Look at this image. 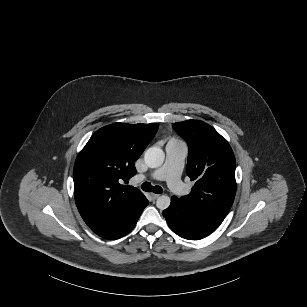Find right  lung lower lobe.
<instances>
[{
  "label": "right lung lower lobe",
  "instance_id": "98d812e1",
  "mask_svg": "<svg viewBox=\"0 0 307 307\" xmlns=\"http://www.w3.org/2000/svg\"><path fill=\"white\" fill-rule=\"evenodd\" d=\"M148 203V200L143 195L118 216L91 229L105 239H118L123 237L135 227L142 211Z\"/></svg>",
  "mask_w": 307,
  "mask_h": 307
}]
</instances>
